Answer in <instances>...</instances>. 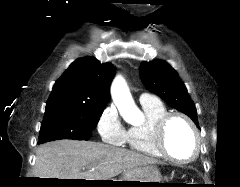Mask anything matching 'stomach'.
<instances>
[{
    "mask_svg": "<svg viewBox=\"0 0 240 187\" xmlns=\"http://www.w3.org/2000/svg\"><path fill=\"white\" fill-rule=\"evenodd\" d=\"M161 180L162 176L159 169L155 165L149 164L124 172L122 180L112 181H130L121 182L119 186L157 187L159 186V183H162ZM140 182H157V183H140Z\"/></svg>",
    "mask_w": 240,
    "mask_h": 187,
    "instance_id": "1",
    "label": "stomach"
}]
</instances>
